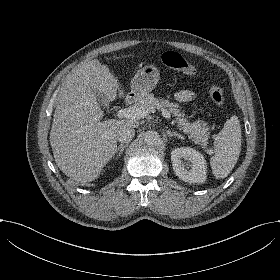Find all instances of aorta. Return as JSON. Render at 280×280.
Returning a JSON list of instances; mask_svg holds the SVG:
<instances>
[{"instance_id":"aorta-1","label":"aorta","mask_w":280,"mask_h":280,"mask_svg":"<svg viewBox=\"0 0 280 280\" xmlns=\"http://www.w3.org/2000/svg\"><path fill=\"white\" fill-rule=\"evenodd\" d=\"M144 142L148 145H156L159 142L160 136L155 130H148L144 133Z\"/></svg>"}]
</instances>
